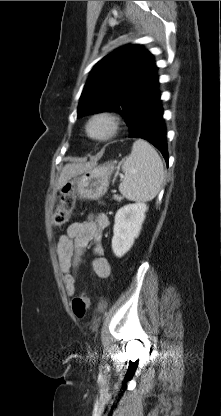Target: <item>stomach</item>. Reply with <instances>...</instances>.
I'll return each instance as SVG.
<instances>
[{
    "mask_svg": "<svg viewBox=\"0 0 221 416\" xmlns=\"http://www.w3.org/2000/svg\"><path fill=\"white\" fill-rule=\"evenodd\" d=\"M113 171V163L94 166L74 177L73 190L80 199L97 200L107 192Z\"/></svg>",
    "mask_w": 221,
    "mask_h": 416,
    "instance_id": "1",
    "label": "stomach"
}]
</instances>
